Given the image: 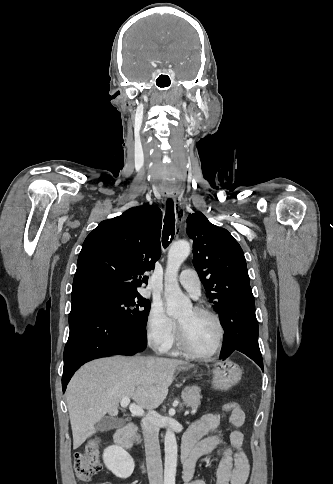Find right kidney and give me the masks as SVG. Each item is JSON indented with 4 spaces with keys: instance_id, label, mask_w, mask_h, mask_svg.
<instances>
[{
    "instance_id": "right-kidney-1",
    "label": "right kidney",
    "mask_w": 333,
    "mask_h": 484,
    "mask_svg": "<svg viewBox=\"0 0 333 484\" xmlns=\"http://www.w3.org/2000/svg\"><path fill=\"white\" fill-rule=\"evenodd\" d=\"M103 461L108 470L122 479L130 477L135 467L131 455L117 445L109 446L104 450Z\"/></svg>"
}]
</instances>
